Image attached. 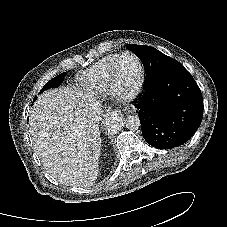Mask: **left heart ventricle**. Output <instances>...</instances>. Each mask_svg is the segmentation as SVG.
Returning <instances> with one entry per match:
<instances>
[{
	"label": "left heart ventricle",
	"mask_w": 227,
	"mask_h": 227,
	"mask_svg": "<svg viewBox=\"0 0 227 227\" xmlns=\"http://www.w3.org/2000/svg\"><path fill=\"white\" fill-rule=\"evenodd\" d=\"M139 76V68L136 60L131 56L122 58L116 69V79L124 90L134 87Z\"/></svg>",
	"instance_id": "obj_1"
}]
</instances>
